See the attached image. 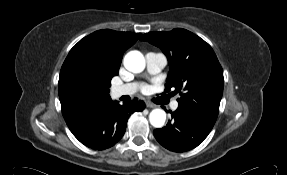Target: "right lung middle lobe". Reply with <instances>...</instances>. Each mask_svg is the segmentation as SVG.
<instances>
[{"instance_id": "1", "label": "right lung middle lobe", "mask_w": 287, "mask_h": 175, "mask_svg": "<svg viewBox=\"0 0 287 175\" xmlns=\"http://www.w3.org/2000/svg\"><path fill=\"white\" fill-rule=\"evenodd\" d=\"M108 88L96 77L85 60L79 61L68 79L64 99L67 109L80 113L90 109L99 100L108 97Z\"/></svg>"}]
</instances>
